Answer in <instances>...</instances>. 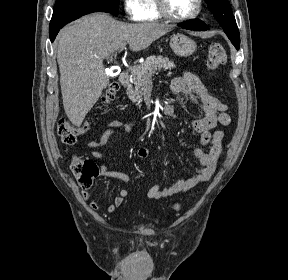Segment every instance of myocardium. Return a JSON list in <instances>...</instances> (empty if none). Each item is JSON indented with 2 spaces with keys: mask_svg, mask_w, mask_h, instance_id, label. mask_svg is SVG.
I'll use <instances>...</instances> for the list:
<instances>
[{
  "mask_svg": "<svg viewBox=\"0 0 288 280\" xmlns=\"http://www.w3.org/2000/svg\"><path fill=\"white\" fill-rule=\"evenodd\" d=\"M156 4L158 12L163 18L172 22H186L195 19L201 13L203 0H197L195 10L191 14L182 17L175 16L169 11L166 0H156Z\"/></svg>",
  "mask_w": 288,
  "mask_h": 280,
  "instance_id": "obj_1",
  "label": "myocardium"
}]
</instances>
